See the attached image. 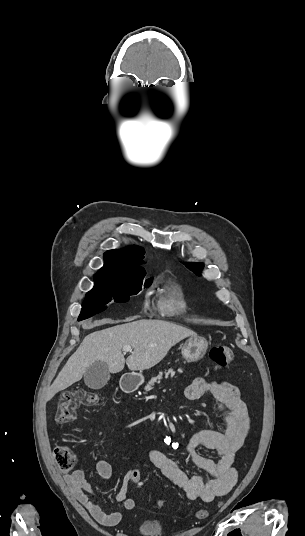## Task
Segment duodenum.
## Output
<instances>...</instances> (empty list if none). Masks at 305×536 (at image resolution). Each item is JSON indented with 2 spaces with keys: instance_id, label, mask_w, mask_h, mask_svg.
I'll list each match as a JSON object with an SVG mask.
<instances>
[{
  "instance_id": "410a0bca",
  "label": "duodenum",
  "mask_w": 305,
  "mask_h": 536,
  "mask_svg": "<svg viewBox=\"0 0 305 536\" xmlns=\"http://www.w3.org/2000/svg\"><path fill=\"white\" fill-rule=\"evenodd\" d=\"M121 388L124 392H133L140 385V379L137 376L124 375L121 379Z\"/></svg>"
}]
</instances>
